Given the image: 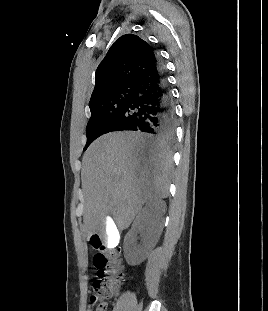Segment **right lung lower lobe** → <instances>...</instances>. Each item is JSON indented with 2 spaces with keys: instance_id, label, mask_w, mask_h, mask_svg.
<instances>
[{
  "instance_id": "obj_1",
  "label": "right lung lower lobe",
  "mask_w": 268,
  "mask_h": 311,
  "mask_svg": "<svg viewBox=\"0 0 268 311\" xmlns=\"http://www.w3.org/2000/svg\"><path fill=\"white\" fill-rule=\"evenodd\" d=\"M176 117L163 65L158 57L134 85V93L119 116L108 127L113 131H142L171 142Z\"/></svg>"
}]
</instances>
